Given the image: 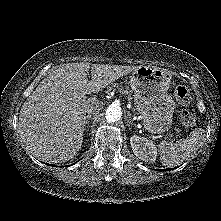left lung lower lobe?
<instances>
[{
  "instance_id": "0a47b994",
  "label": "left lung lower lobe",
  "mask_w": 221,
  "mask_h": 221,
  "mask_svg": "<svg viewBox=\"0 0 221 221\" xmlns=\"http://www.w3.org/2000/svg\"><path fill=\"white\" fill-rule=\"evenodd\" d=\"M172 169V168H171ZM171 169H164V171H168V170H171Z\"/></svg>"
}]
</instances>
